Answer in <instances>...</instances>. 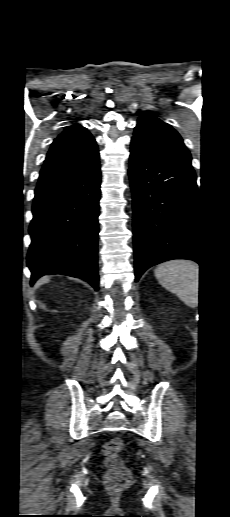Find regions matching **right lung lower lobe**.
<instances>
[{"mask_svg":"<svg viewBox=\"0 0 230 517\" xmlns=\"http://www.w3.org/2000/svg\"><path fill=\"white\" fill-rule=\"evenodd\" d=\"M100 164L72 178L37 186L29 227L31 284L48 274L82 278L98 290Z\"/></svg>","mask_w":230,"mask_h":517,"instance_id":"right-lung-lower-lobe-1","label":"right lung lower lobe"}]
</instances>
